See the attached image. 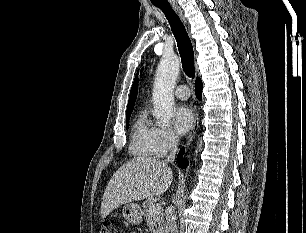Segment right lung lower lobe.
Instances as JSON below:
<instances>
[{"label":"right lung lower lobe","instance_id":"98d812e1","mask_svg":"<svg viewBox=\"0 0 306 233\" xmlns=\"http://www.w3.org/2000/svg\"><path fill=\"white\" fill-rule=\"evenodd\" d=\"M202 82L201 80L198 78L195 82V93L197 98L200 100L202 97ZM183 154H184V148H182L177 156V162L179 163L180 167L182 168H186V165H188V161L187 160H182L183 158Z\"/></svg>","mask_w":306,"mask_h":233}]
</instances>
